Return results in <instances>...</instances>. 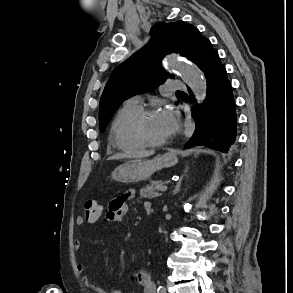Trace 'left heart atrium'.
Returning a JSON list of instances; mask_svg holds the SVG:
<instances>
[{"label":"left heart atrium","mask_w":293,"mask_h":293,"mask_svg":"<svg viewBox=\"0 0 293 293\" xmlns=\"http://www.w3.org/2000/svg\"><path fill=\"white\" fill-rule=\"evenodd\" d=\"M163 116H164L165 120L167 121L169 128H170V131L172 133L175 128V117H174L173 113L163 112Z\"/></svg>","instance_id":"39dd6f15"}]
</instances>
